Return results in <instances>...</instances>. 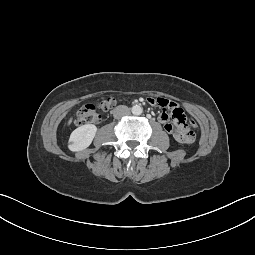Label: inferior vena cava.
I'll return each mask as SVG.
<instances>
[{
    "mask_svg": "<svg viewBox=\"0 0 255 255\" xmlns=\"http://www.w3.org/2000/svg\"><path fill=\"white\" fill-rule=\"evenodd\" d=\"M130 114V109L125 105H119L113 110V116L116 119H120Z\"/></svg>",
    "mask_w": 255,
    "mask_h": 255,
    "instance_id": "inferior-vena-cava-1",
    "label": "inferior vena cava"
}]
</instances>
